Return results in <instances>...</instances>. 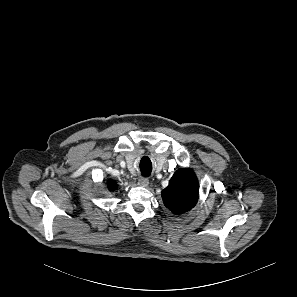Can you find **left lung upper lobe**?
<instances>
[{"mask_svg":"<svg viewBox=\"0 0 297 297\" xmlns=\"http://www.w3.org/2000/svg\"><path fill=\"white\" fill-rule=\"evenodd\" d=\"M199 185L191 169H180L172 176L169 185L162 191V199L167 208L175 214L192 209L198 199Z\"/></svg>","mask_w":297,"mask_h":297,"instance_id":"5c2ea615","label":"left lung upper lobe"}]
</instances>
